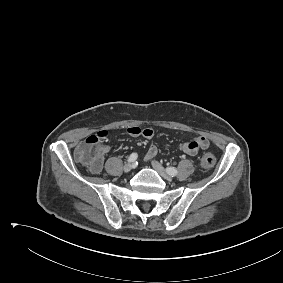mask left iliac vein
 I'll list each match as a JSON object with an SVG mask.
<instances>
[{"instance_id":"4c4485c4","label":"left iliac vein","mask_w":283,"mask_h":283,"mask_svg":"<svg viewBox=\"0 0 283 283\" xmlns=\"http://www.w3.org/2000/svg\"><path fill=\"white\" fill-rule=\"evenodd\" d=\"M152 166L153 168L159 173V175L168 180L171 181L172 180V176L168 174V172L164 169V167L156 160L152 161Z\"/></svg>"}]
</instances>
